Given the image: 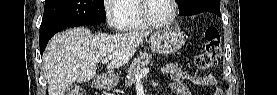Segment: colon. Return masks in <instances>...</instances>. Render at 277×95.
Here are the masks:
<instances>
[{"label": "colon", "instance_id": "5ec220e1", "mask_svg": "<svg viewBox=\"0 0 277 95\" xmlns=\"http://www.w3.org/2000/svg\"><path fill=\"white\" fill-rule=\"evenodd\" d=\"M205 48L196 57L195 65L199 70L209 71L216 66L221 57V34L215 27H210L204 33ZM68 95H85V91L79 87L71 86L67 89Z\"/></svg>", "mask_w": 277, "mask_h": 95}]
</instances>
